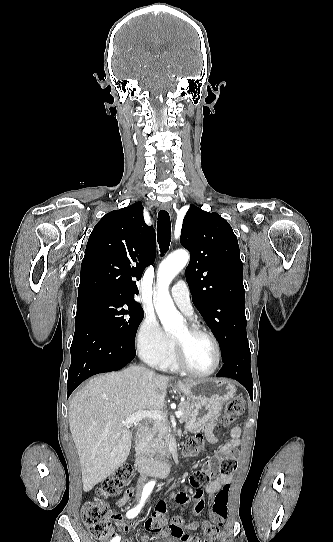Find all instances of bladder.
Returning a JSON list of instances; mask_svg holds the SVG:
<instances>
[{"instance_id": "31cf9c89", "label": "bladder", "mask_w": 333, "mask_h": 542, "mask_svg": "<svg viewBox=\"0 0 333 542\" xmlns=\"http://www.w3.org/2000/svg\"><path fill=\"white\" fill-rule=\"evenodd\" d=\"M152 542H179L173 535L159 536L153 539Z\"/></svg>"}]
</instances>
